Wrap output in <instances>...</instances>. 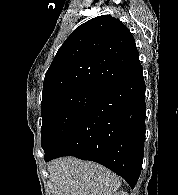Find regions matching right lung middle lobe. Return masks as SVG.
<instances>
[{
    "label": "right lung middle lobe",
    "mask_w": 178,
    "mask_h": 195,
    "mask_svg": "<svg viewBox=\"0 0 178 195\" xmlns=\"http://www.w3.org/2000/svg\"><path fill=\"white\" fill-rule=\"evenodd\" d=\"M99 91L80 89L48 98L41 104V146L50 154L91 107Z\"/></svg>",
    "instance_id": "dd1d6c3e"
}]
</instances>
